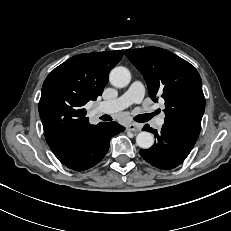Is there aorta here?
<instances>
[{
    "instance_id": "obj_1",
    "label": "aorta",
    "mask_w": 231,
    "mask_h": 231,
    "mask_svg": "<svg viewBox=\"0 0 231 231\" xmlns=\"http://www.w3.org/2000/svg\"><path fill=\"white\" fill-rule=\"evenodd\" d=\"M109 81L113 86L123 88L131 81L130 71L122 66L115 67L110 72ZM136 143L140 148L148 149L154 144V136L150 132L142 131L137 135Z\"/></svg>"
}]
</instances>
